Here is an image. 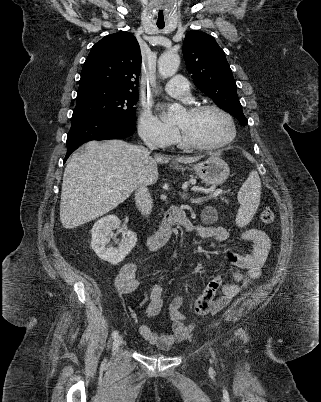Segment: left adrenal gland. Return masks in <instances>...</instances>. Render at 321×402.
<instances>
[{
  "instance_id": "obj_1",
  "label": "left adrenal gland",
  "mask_w": 321,
  "mask_h": 402,
  "mask_svg": "<svg viewBox=\"0 0 321 402\" xmlns=\"http://www.w3.org/2000/svg\"><path fill=\"white\" fill-rule=\"evenodd\" d=\"M181 197L185 199V198H187V195L186 194H181Z\"/></svg>"
}]
</instances>
